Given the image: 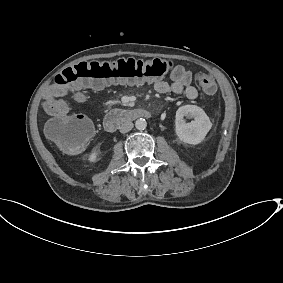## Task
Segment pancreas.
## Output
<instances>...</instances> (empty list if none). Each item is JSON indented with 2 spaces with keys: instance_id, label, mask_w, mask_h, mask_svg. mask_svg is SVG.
<instances>
[{
  "instance_id": "obj_1",
  "label": "pancreas",
  "mask_w": 283,
  "mask_h": 283,
  "mask_svg": "<svg viewBox=\"0 0 283 283\" xmlns=\"http://www.w3.org/2000/svg\"><path fill=\"white\" fill-rule=\"evenodd\" d=\"M122 112H123V113H128V111H126V110H123Z\"/></svg>"
}]
</instances>
